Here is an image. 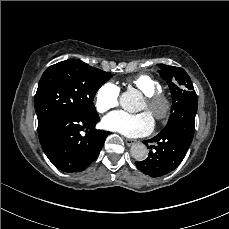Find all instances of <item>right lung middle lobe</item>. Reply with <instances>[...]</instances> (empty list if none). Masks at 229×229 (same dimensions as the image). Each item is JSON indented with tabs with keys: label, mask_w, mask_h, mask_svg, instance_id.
Wrapping results in <instances>:
<instances>
[{
	"label": "right lung middle lobe",
	"mask_w": 229,
	"mask_h": 229,
	"mask_svg": "<svg viewBox=\"0 0 229 229\" xmlns=\"http://www.w3.org/2000/svg\"><path fill=\"white\" fill-rule=\"evenodd\" d=\"M111 77L109 72L75 59L48 67L35 95L38 133L64 114L86 119L98 118L92 102L98 89Z\"/></svg>",
	"instance_id": "obj_1"
}]
</instances>
